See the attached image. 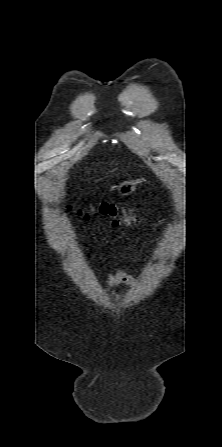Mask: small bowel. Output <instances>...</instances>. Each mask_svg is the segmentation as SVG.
Returning <instances> with one entry per match:
<instances>
[{"mask_svg": "<svg viewBox=\"0 0 222 447\" xmlns=\"http://www.w3.org/2000/svg\"><path fill=\"white\" fill-rule=\"evenodd\" d=\"M103 281L109 289L131 287L133 285V279L121 269L108 273Z\"/></svg>", "mask_w": 222, "mask_h": 447, "instance_id": "obj_1", "label": "small bowel"}]
</instances>
